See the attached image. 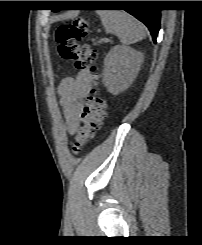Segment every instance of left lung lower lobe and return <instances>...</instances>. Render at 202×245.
Here are the masks:
<instances>
[{
	"mask_svg": "<svg viewBox=\"0 0 202 245\" xmlns=\"http://www.w3.org/2000/svg\"><path fill=\"white\" fill-rule=\"evenodd\" d=\"M105 2L108 3V1ZM130 3L136 6H144L149 4L145 3V1H130ZM52 11L57 12L58 10ZM125 11L136 17L138 20L143 22L148 27L149 31L151 32L153 41L154 43H156V37L160 29L161 10L149 8H132L126 9Z\"/></svg>",
	"mask_w": 202,
	"mask_h": 245,
	"instance_id": "left-lung-lower-lobe-1",
	"label": "left lung lower lobe"
}]
</instances>
